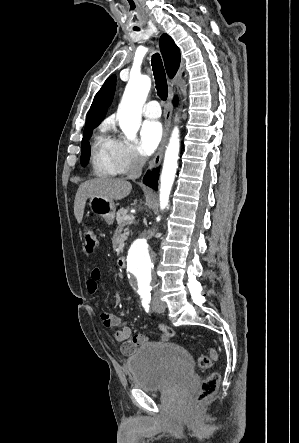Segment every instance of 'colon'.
I'll list each match as a JSON object with an SVG mask.
<instances>
[{"instance_id": "1", "label": "colon", "mask_w": 299, "mask_h": 443, "mask_svg": "<svg viewBox=\"0 0 299 443\" xmlns=\"http://www.w3.org/2000/svg\"><path fill=\"white\" fill-rule=\"evenodd\" d=\"M81 239L85 250L93 252L98 245V237L91 227H84L81 231ZM218 359V353L215 349L209 348L198 358V366L201 370H207L214 361ZM220 382L218 373H211L201 384L200 390L196 396V403L203 404L210 400L216 393Z\"/></svg>"}]
</instances>
